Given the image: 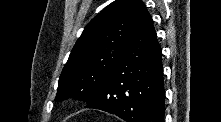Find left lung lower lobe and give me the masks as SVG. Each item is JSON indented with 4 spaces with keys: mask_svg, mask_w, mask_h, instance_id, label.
<instances>
[{
    "mask_svg": "<svg viewBox=\"0 0 221 122\" xmlns=\"http://www.w3.org/2000/svg\"><path fill=\"white\" fill-rule=\"evenodd\" d=\"M164 101L162 52L152 18L141 2L121 56L86 108L127 122H163Z\"/></svg>",
    "mask_w": 221,
    "mask_h": 122,
    "instance_id": "1",
    "label": "left lung lower lobe"
}]
</instances>
